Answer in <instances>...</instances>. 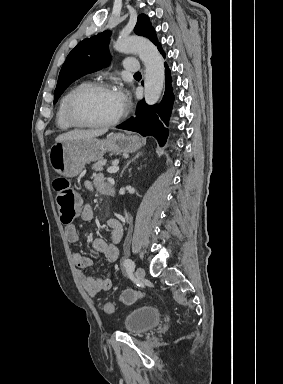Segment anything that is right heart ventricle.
Listing matches in <instances>:
<instances>
[{
    "mask_svg": "<svg viewBox=\"0 0 283 384\" xmlns=\"http://www.w3.org/2000/svg\"><path fill=\"white\" fill-rule=\"evenodd\" d=\"M84 84H86V83L85 82L79 83V84L73 86L72 88H70L69 90H67L62 95V97L60 98V100L58 102L55 118H56L57 127L62 131H70V130L74 129V127L70 125V123L68 122V120L66 118V106H67L68 100L70 99L71 95L77 89H79L81 86H83Z\"/></svg>",
    "mask_w": 283,
    "mask_h": 384,
    "instance_id": "right-heart-ventricle-1",
    "label": "right heart ventricle"
}]
</instances>
